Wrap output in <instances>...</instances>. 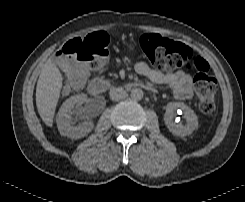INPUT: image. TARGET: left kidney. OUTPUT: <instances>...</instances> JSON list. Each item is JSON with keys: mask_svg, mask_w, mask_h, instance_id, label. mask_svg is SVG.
I'll use <instances>...</instances> for the list:
<instances>
[{"mask_svg": "<svg viewBox=\"0 0 245 202\" xmlns=\"http://www.w3.org/2000/svg\"><path fill=\"white\" fill-rule=\"evenodd\" d=\"M180 109L184 113L185 125L177 124L174 121L175 110ZM164 122L169 131L175 135L184 137L190 135L195 129L198 128V117L195 112L182 102H170L166 106L164 114Z\"/></svg>", "mask_w": 245, "mask_h": 202, "instance_id": "1", "label": "left kidney"}]
</instances>
